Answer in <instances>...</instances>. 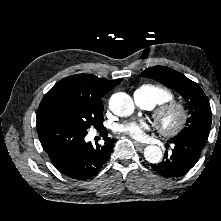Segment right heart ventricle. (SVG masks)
Returning a JSON list of instances; mask_svg holds the SVG:
<instances>
[{"mask_svg": "<svg viewBox=\"0 0 221 221\" xmlns=\"http://www.w3.org/2000/svg\"><path fill=\"white\" fill-rule=\"evenodd\" d=\"M138 89L145 90L151 96L153 107L167 102L174 97L173 92L169 88L161 85L145 84Z\"/></svg>", "mask_w": 221, "mask_h": 221, "instance_id": "e07e8e85", "label": "right heart ventricle"}]
</instances>
